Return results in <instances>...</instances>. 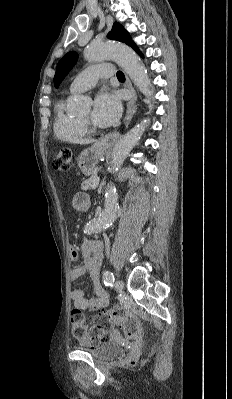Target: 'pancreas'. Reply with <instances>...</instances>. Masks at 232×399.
<instances>
[{"label":"pancreas","mask_w":232,"mask_h":399,"mask_svg":"<svg viewBox=\"0 0 232 399\" xmlns=\"http://www.w3.org/2000/svg\"><path fill=\"white\" fill-rule=\"evenodd\" d=\"M95 176L96 174H91L89 180H85V182H82L80 188L81 190H91L92 186H93V182L95 180Z\"/></svg>","instance_id":"1"}]
</instances>
